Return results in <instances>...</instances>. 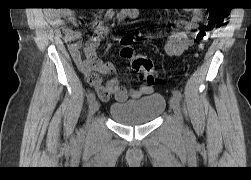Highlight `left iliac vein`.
<instances>
[{
    "label": "left iliac vein",
    "instance_id": "obj_1",
    "mask_svg": "<svg viewBox=\"0 0 251 180\" xmlns=\"http://www.w3.org/2000/svg\"><path fill=\"white\" fill-rule=\"evenodd\" d=\"M170 106L175 114V117H176L178 123L182 124L183 120H182V115H181V111H180L179 101L175 97H171Z\"/></svg>",
    "mask_w": 251,
    "mask_h": 180
}]
</instances>
